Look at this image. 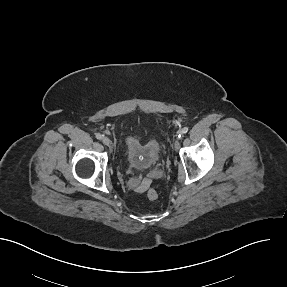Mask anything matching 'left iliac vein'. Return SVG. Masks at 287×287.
<instances>
[{"label":"left iliac vein","mask_w":287,"mask_h":287,"mask_svg":"<svg viewBox=\"0 0 287 287\" xmlns=\"http://www.w3.org/2000/svg\"><path fill=\"white\" fill-rule=\"evenodd\" d=\"M174 145H175V147L178 148V147L180 146L179 141H175V142H174Z\"/></svg>","instance_id":"1"}]
</instances>
